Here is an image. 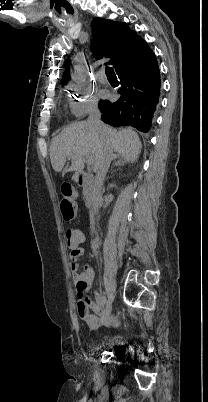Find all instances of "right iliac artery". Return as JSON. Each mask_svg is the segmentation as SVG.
I'll return each mask as SVG.
<instances>
[{
	"mask_svg": "<svg viewBox=\"0 0 208 402\" xmlns=\"http://www.w3.org/2000/svg\"><path fill=\"white\" fill-rule=\"evenodd\" d=\"M107 303H108V301H107V298H106V296H104L103 297V306H107Z\"/></svg>",
	"mask_w": 208,
	"mask_h": 402,
	"instance_id": "obj_1",
	"label": "right iliac artery"
}]
</instances>
